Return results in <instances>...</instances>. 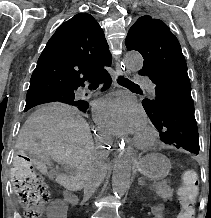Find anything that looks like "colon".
<instances>
[{
	"instance_id": "5ec220e1",
	"label": "colon",
	"mask_w": 211,
	"mask_h": 218,
	"mask_svg": "<svg viewBox=\"0 0 211 218\" xmlns=\"http://www.w3.org/2000/svg\"><path fill=\"white\" fill-rule=\"evenodd\" d=\"M14 192L27 218L42 215L50 198V192L31 159L25 153L17 154L11 171ZM199 177L195 170L187 169L181 176L179 202L181 211L176 218H195V202Z\"/></svg>"
}]
</instances>
